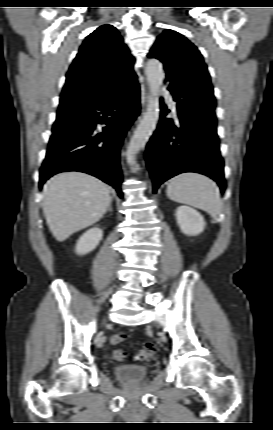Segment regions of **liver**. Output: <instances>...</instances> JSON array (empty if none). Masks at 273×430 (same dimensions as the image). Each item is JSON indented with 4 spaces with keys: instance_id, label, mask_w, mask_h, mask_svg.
Masks as SVG:
<instances>
[{
    "instance_id": "1",
    "label": "liver",
    "mask_w": 273,
    "mask_h": 430,
    "mask_svg": "<svg viewBox=\"0 0 273 430\" xmlns=\"http://www.w3.org/2000/svg\"><path fill=\"white\" fill-rule=\"evenodd\" d=\"M109 187L89 174L62 172L43 187V212L50 231L62 242L102 218L111 204Z\"/></svg>"
}]
</instances>
